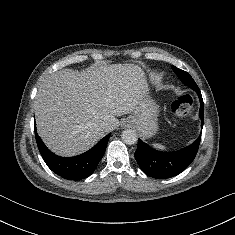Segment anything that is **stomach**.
Returning a JSON list of instances; mask_svg holds the SVG:
<instances>
[{
    "instance_id": "obj_1",
    "label": "stomach",
    "mask_w": 235,
    "mask_h": 235,
    "mask_svg": "<svg viewBox=\"0 0 235 235\" xmlns=\"http://www.w3.org/2000/svg\"><path fill=\"white\" fill-rule=\"evenodd\" d=\"M159 105L147 94L138 109L123 121L124 126H134L144 138H150L158 131Z\"/></svg>"
}]
</instances>
